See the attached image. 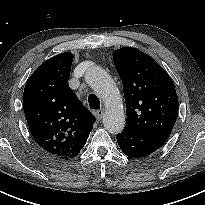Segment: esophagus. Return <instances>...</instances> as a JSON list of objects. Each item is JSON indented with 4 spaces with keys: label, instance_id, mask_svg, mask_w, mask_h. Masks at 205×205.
I'll return each mask as SVG.
<instances>
[{
    "label": "esophagus",
    "instance_id": "obj_1",
    "mask_svg": "<svg viewBox=\"0 0 205 205\" xmlns=\"http://www.w3.org/2000/svg\"><path fill=\"white\" fill-rule=\"evenodd\" d=\"M103 115H104V109H99V110L96 111L97 120L100 121L102 119Z\"/></svg>",
    "mask_w": 205,
    "mask_h": 205
}]
</instances>
